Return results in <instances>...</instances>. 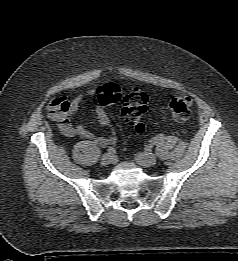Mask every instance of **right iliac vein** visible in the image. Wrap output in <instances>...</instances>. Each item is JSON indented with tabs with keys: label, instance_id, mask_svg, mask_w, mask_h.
<instances>
[{
	"label": "right iliac vein",
	"instance_id": "1",
	"mask_svg": "<svg viewBox=\"0 0 238 261\" xmlns=\"http://www.w3.org/2000/svg\"><path fill=\"white\" fill-rule=\"evenodd\" d=\"M113 162V156L109 153H106L102 156L101 164L106 166Z\"/></svg>",
	"mask_w": 238,
	"mask_h": 261
}]
</instances>
